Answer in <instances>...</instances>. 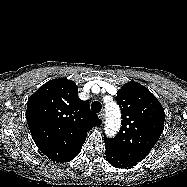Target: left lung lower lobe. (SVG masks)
<instances>
[{
    "mask_svg": "<svg viewBox=\"0 0 187 187\" xmlns=\"http://www.w3.org/2000/svg\"><path fill=\"white\" fill-rule=\"evenodd\" d=\"M107 161L116 168H127L136 165L137 163L133 160L123 157L113 149H110L105 145Z\"/></svg>",
    "mask_w": 187,
    "mask_h": 187,
    "instance_id": "0a47b994",
    "label": "left lung lower lobe"
}]
</instances>
